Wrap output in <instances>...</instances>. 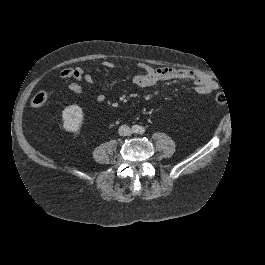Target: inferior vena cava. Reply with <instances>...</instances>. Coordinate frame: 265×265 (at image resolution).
<instances>
[{
    "instance_id": "inferior-vena-cava-1",
    "label": "inferior vena cava",
    "mask_w": 265,
    "mask_h": 265,
    "mask_svg": "<svg viewBox=\"0 0 265 265\" xmlns=\"http://www.w3.org/2000/svg\"><path fill=\"white\" fill-rule=\"evenodd\" d=\"M118 133L121 136H129V135L132 134V131H131V129L128 126L122 125L118 129Z\"/></svg>"
}]
</instances>
